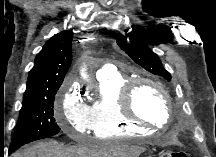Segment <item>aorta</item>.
<instances>
[{"instance_id":"aorta-1","label":"aorta","mask_w":216,"mask_h":157,"mask_svg":"<svg viewBox=\"0 0 216 157\" xmlns=\"http://www.w3.org/2000/svg\"><path fill=\"white\" fill-rule=\"evenodd\" d=\"M83 78H86V75L84 73H82Z\"/></svg>"}]
</instances>
